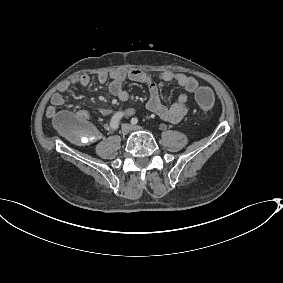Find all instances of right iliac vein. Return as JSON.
<instances>
[{
	"label": "right iliac vein",
	"mask_w": 283,
	"mask_h": 283,
	"mask_svg": "<svg viewBox=\"0 0 283 283\" xmlns=\"http://www.w3.org/2000/svg\"><path fill=\"white\" fill-rule=\"evenodd\" d=\"M131 130V127L129 124H123L121 127V133L122 135H127Z\"/></svg>",
	"instance_id": "63e3f726"
}]
</instances>
